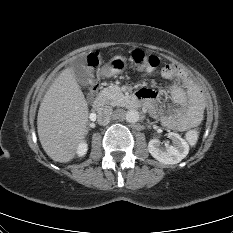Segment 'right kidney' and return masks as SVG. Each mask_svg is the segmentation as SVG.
<instances>
[{
    "mask_svg": "<svg viewBox=\"0 0 233 233\" xmlns=\"http://www.w3.org/2000/svg\"><path fill=\"white\" fill-rule=\"evenodd\" d=\"M86 152H87V144L85 142L79 143L76 150L78 156L82 157L86 154Z\"/></svg>",
    "mask_w": 233,
    "mask_h": 233,
    "instance_id": "obj_1",
    "label": "right kidney"
}]
</instances>
